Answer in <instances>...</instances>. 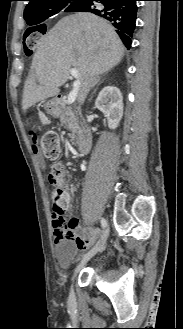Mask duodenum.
I'll return each instance as SVG.
<instances>
[{
	"instance_id": "duodenum-1",
	"label": "duodenum",
	"mask_w": 183,
	"mask_h": 329,
	"mask_svg": "<svg viewBox=\"0 0 183 329\" xmlns=\"http://www.w3.org/2000/svg\"><path fill=\"white\" fill-rule=\"evenodd\" d=\"M76 148L81 155L89 153L91 149V132L89 128L85 127L79 132L76 140Z\"/></svg>"
}]
</instances>
